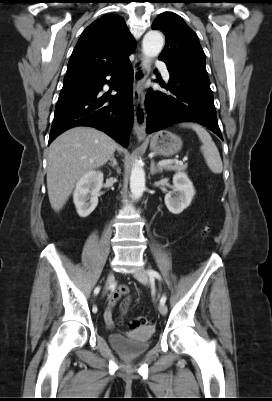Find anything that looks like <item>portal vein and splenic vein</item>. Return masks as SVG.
<instances>
[{
  "instance_id": "obj_1",
  "label": "portal vein and splenic vein",
  "mask_w": 272,
  "mask_h": 401,
  "mask_svg": "<svg viewBox=\"0 0 272 401\" xmlns=\"http://www.w3.org/2000/svg\"><path fill=\"white\" fill-rule=\"evenodd\" d=\"M187 157H184L183 160H187ZM172 163H181L178 160H162L160 162H158V166L162 167L168 164H172Z\"/></svg>"
}]
</instances>
